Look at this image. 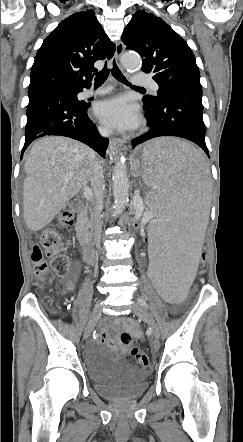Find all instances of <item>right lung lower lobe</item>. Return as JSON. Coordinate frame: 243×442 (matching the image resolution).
<instances>
[{
    "label": "right lung lower lobe",
    "mask_w": 243,
    "mask_h": 442,
    "mask_svg": "<svg viewBox=\"0 0 243 442\" xmlns=\"http://www.w3.org/2000/svg\"><path fill=\"white\" fill-rule=\"evenodd\" d=\"M81 91L83 89L73 90L59 85L29 89L26 140L21 159L28 145L45 135L79 140L105 158L109 140L99 135L95 124L89 119L87 110L90 104L78 100L77 94Z\"/></svg>",
    "instance_id": "obj_1"
}]
</instances>
